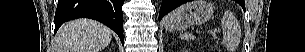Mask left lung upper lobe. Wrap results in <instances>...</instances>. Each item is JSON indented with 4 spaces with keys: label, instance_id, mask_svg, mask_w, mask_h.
<instances>
[{
    "label": "left lung upper lobe",
    "instance_id": "left-lung-upper-lobe-1",
    "mask_svg": "<svg viewBox=\"0 0 305 52\" xmlns=\"http://www.w3.org/2000/svg\"><path fill=\"white\" fill-rule=\"evenodd\" d=\"M242 7H244V3L241 1H237Z\"/></svg>",
    "mask_w": 305,
    "mask_h": 52
}]
</instances>
